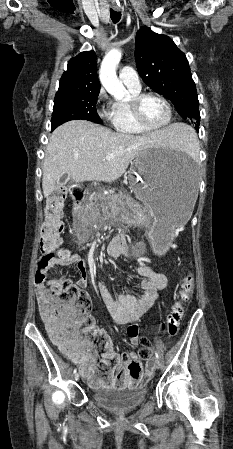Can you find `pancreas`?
I'll return each instance as SVG.
<instances>
[{"mask_svg":"<svg viewBox=\"0 0 233 449\" xmlns=\"http://www.w3.org/2000/svg\"><path fill=\"white\" fill-rule=\"evenodd\" d=\"M126 200L127 206L131 209L130 217L132 222L143 226L149 222V212L135 203L130 196L119 194H93L85 207L88 221L95 222L101 218H114L122 210V205L118 202Z\"/></svg>","mask_w":233,"mask_h":449,"instance_id":"1","label":"pancreas"}]
</instances>
